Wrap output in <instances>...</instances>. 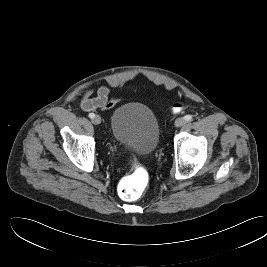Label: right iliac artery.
<instances>
[{"label":"right iliac artery","instance_id":"1","mask_svg":"<svg viewBox=\"0 0 267 267\" xmlns=\"http://www.w3.org/2000/svg\"><path fill=\"white\" fill-rule=\"evenodd\" d=\"M89 118H93V117H95V114L94 113H89Z\"/></svg>","mask_w":267,"mask_h":267}]
</instances>
